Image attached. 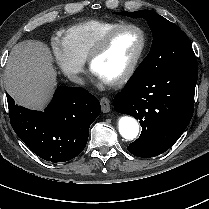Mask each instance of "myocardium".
I'll return each instance as SVG.
<instances>
[{
	"instance_id": "f54148a6",
	"label": "myocardium",
	"mask_w": 209,
	"mask_h": 209,
	"mask_svg": "<svg viewBox=\"0 0 209 209\" xmlns=\"http://www.w3.org/2000/svg\"><path fill=\"white\" fill-rule=\"evenodd\" d=\"M126 29H134L137 30L141 35V44L140 47L133 58L131 64L129 67L125 70L123 74L120 76L114 78V79H102V81L107 85L112 86H118L122 85L124 83H127L130 81L135 73L138 70V67L142 61V58L144 56L147 43H148V37L146 31L140 27L139 25L133 24V23H119L109 30H107L97 41L95 46L92 48L91 52L89 53L87 57V62L89 65V68L93 71V65L95 60L105 51V49L108 47L112 37L121 30Z\"/></svg>"
}]
</instances>
